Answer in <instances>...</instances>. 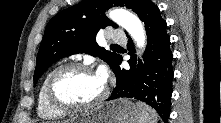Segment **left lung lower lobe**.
I'll use <instances>...</instances> for the list:
<instances>
[{
	"label": "left lung lower lobe",
	"mask_w": 221,
	"mask_h": 123,
	"mask_svg": "<svg viewBox=\"0 0 221 123\" xmlns=\"http://www.w3.org/2000/svg\"><path fill=\"white\" fill-rule=\"evenodd\" d=\"M139 18L144 22L147 33V47L143 62L136 66L132 44H128L131 55L130 70L121 69L122 56L116 59L112 70L117 79L116 88L108 100L127 97L143 101L155 108L160 117L167 121L170 115L173 55L170 50V37L166 32V21L160 16L159 8L150 1Z\"/></svg>",
	"instance_id": "obj_1"
}]
</instances>
